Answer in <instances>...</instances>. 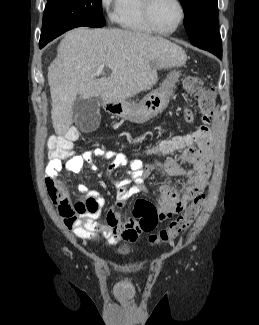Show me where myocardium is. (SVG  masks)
<instances>
[{
    "instance_id": "myocardium-1",
    "label": "myocardium",
    "mask_w": 259,
    "mask_h": 325,
    "mask_svg": "<svg viewBox=\"0 0 259 325\" xmlns=\"http://www.w3.org/2000/svg\"><path fill=\"white\" fill-rule=\"evenodd\" d=\"M142 1H143L142 9H143L144 19H145L146 23L148 24V26L154 32L162 34V35H170V34H173L174 32H176L180 28L182 23L184 22V19L186 16V11H185V6L181 0H175V2L177 3V5L179 7V10H180L179 20L173 29L167 30V31L159 29L154 23V20L152 17V7H153L155 0H142Z\"/></svg>"
}]
</instances>
